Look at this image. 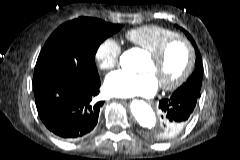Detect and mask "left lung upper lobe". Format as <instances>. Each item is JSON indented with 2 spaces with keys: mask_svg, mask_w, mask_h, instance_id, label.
<instances>
[{
  "mask_svg": "<svg viewBox=\"0 0 240 160\" xmlns=\"http://www.w3.org/2000/svg\"><path fill=\"white\" fill-rule=\"evenodd\" d=\"M182 31L186 34V36L188 37V39L191 41V43L193 44V46L195 48V52H196V65L195 66H196V68H195L194 73L187 80V82H185L182 86H180L173 94L192 95V96H195L196 98H199L200 97V89H201V85H202V79H203V65H202V60H201V54L199 53L198 48L195 44V41L189 35V33H187V31H185L184 29H182ZM164 131H165V122H163V124L159 128L154 130L153 138L162 140V139H160V135ZM166 139H168V138H166Z\"/></svg>",
  "mask_w": 240,
  "mask_h": 160,
  "instance_id": "1",
  "label": "left lung upper lobe"
}]
</instances>
